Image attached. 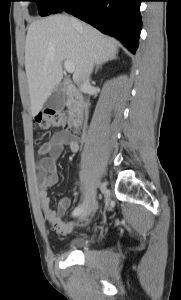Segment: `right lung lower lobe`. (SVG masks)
<instances>
[{"mask_svg": "<svg viewBox=\"0 0 181 300\" xmlns=\"http://www.w3.org/2000/svg\"><path fill=\"white\" fill-rule=\"evenodd\" d=\"M141 1L145 0H65L55 13L66 11L86 21L118 38L135 54L142 25Z\"/></svg>", "mask_w": 181, "mask_h": 300, "instance_id": "obj_1", "label": "right lung lower lobe"}]
</instances>
